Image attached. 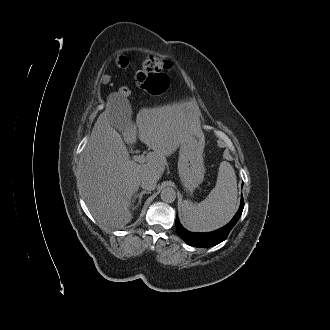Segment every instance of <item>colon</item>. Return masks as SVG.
<instances>
[{"instance_id":"obj_1","label":"colon","mask_w":330,"mask_h":330,"mask_svg":"<svg viewBox=\"0 0 330 330\" xmlns=\"http://www.w3.org/2000/svg\"><path fill=\"white\" fill-rule=\"evenodd\" d=\"M115 65L119 68H125L128 65V59L125 56L117 57ZM171 68V62L156 56L147 57L140 69L134 75V81L137 87L151 93L159 94L163 92L168 84V79L163 73ZM120 95L128 97L131 94L129 86H122L119 89Z\"/></svg>"}]
</instances>
